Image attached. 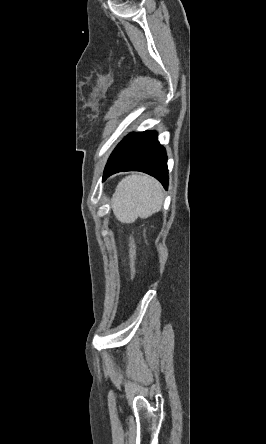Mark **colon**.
Segmentation results:
<instances>
[{
    "label": "colon",
    "instance_id": "obj_1",
    "mask_svg": "<svg viewBox=\"0 0 266 444\" xmlns=\"http://www.w3.org/2000/svg\"><path fill=\"white\" fill-rule=\"evenodd\" d=\"M129 252H130V275L131 279L133 280L137 271L136 246L133 235L129 236Z\"/></svg>",
    "mask_w": 266,
    "mask_h": 444
}]
</instances>
